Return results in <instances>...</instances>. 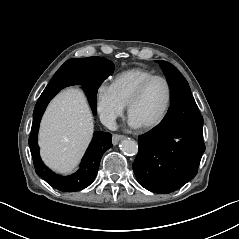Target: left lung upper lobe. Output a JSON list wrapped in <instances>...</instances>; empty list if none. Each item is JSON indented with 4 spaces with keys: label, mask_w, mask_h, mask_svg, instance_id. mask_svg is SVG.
I'll list each match as a JSON object with an SVG mask.
<instances>
[{
    "label": "left lung upper lobe",
    "mask_w": 239,
    "mask_h": 239,
    "mask_svg": "<svg viewBox=\"0 0 239 239\" xmlns=\"http://www.w3.org/2000/svg\"><path fill=\"white\" fill-rule=\"evenodd\" d=\"M159 64L171 86L172 100L176 97L191 93L186 79L172 64L166 61H159Z\"/></svg>",
    "instance_id": "obj_1"
}]
</instances>
